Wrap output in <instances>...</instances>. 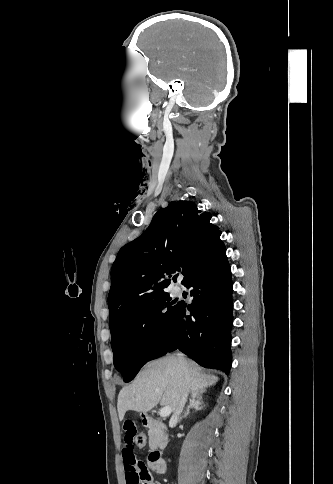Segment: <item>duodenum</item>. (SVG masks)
I'll return each mask as SVG.
<instances>
[{
    "instance_id": "1",
    "label": "duodenum",
    "mask_w": 333,
    "mask_h": 484,
    "mask_svg": "<svg viewBox=\"0 0 333 484\" xmlns=\"http://www.w3.org/2000/svg\"><path fill=\"white\" fill-rule=\"evenodd\" d=\"M144 424L145 426H155L157 428H164V426L160 423L155 422L153 419L149 417L144 418ZM163 445H160V448ZM150 463H151V468L153 471L156 473H164L166 471V464L164 459L161 457L159 450L152 451L150 454Z\"/></svg>"
}]
</instances>
